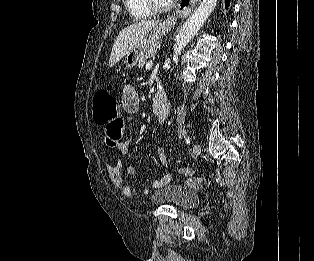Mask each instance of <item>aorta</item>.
<instances>
[{"mask_svg": "<svg viewBox=\"0 0 314 261\" xmlns=\"http://www.w3.org/2000/svg\"><path fill=\"white\" fill-rule=\"evenodd\" d=\"M217 0H202L198 9L186 20L176 38L173 48V60H178L181 51L199 31L204 22L211 15L216 6Z\"/></svg>", "mask_w": 314, "mask_h": 261, "instance_id": "762f6f07", "label": "aorta"}]
</instances>
